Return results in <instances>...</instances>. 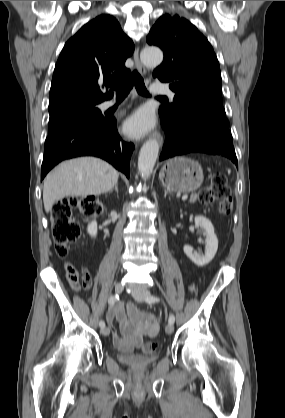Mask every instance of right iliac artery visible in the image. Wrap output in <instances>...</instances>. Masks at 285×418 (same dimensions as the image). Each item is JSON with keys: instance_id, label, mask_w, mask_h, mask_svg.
<instances>
[{"instance_id": "right-iliac-artery-1", "label": "right iliac artery", "mask_w": 285, "mask_h": 418, "mask_svg": "<svg viewBox=\"0 0 285 418\" xmlns=\"http://www.w3.org/2000/svg\"><path fill=\"white\" fill-rule=\"evenodd\" d=\"M118 295H115V296H111L110 298H109V300H108V303L110 304V305H112V304H114L117 300H118ZM99 326L101 327V328H103L104 326H105V322L104 321H100L99 322Z\"/></svg>"}]
</instances>
